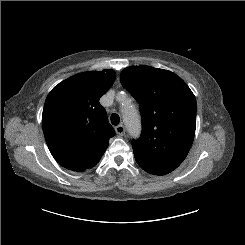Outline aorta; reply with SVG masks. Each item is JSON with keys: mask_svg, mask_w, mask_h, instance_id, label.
I'll return each mask as SVG.
<instances>
[{"mask_svg": "<svg viewBox=\"0 0 245 245\" xmlns=\"http://www.w3.org/2000/svg\"><path fill=\"white\" fill-rule=\"evenodd\" d=\"M125 127L131 136L138 135L141 123L137 111L134 107L125 109L122 112Z\"/></svg>", "mask_w": 245, "mask_h": 245, "instance_id": "obj_1", "label": "aorta"}]
</instances>
